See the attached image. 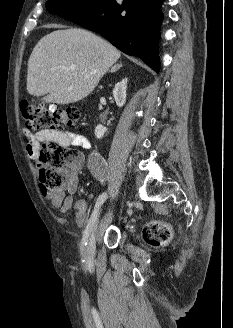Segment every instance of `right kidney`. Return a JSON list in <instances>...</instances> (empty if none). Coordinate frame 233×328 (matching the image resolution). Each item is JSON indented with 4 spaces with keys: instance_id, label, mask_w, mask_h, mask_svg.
Returning a JSON list of instances; mask_svg holds the SVG:
<instances>
[{
    "instance_id": "ca27d5eb",
    "label": "right kidney",
    "mask_w": 233,
    "mask_h": 328,
    "mask_svg": "<svg viewBox=\"0 0 233 328\" xmlns=\"http://www.w3.org/2000/svg\"><path fill=\"white\" fill-rule=\"evenodd\" d=\"M126 89L127 78L115 84V87L113 89V96L118 107H123L126 102ZM106 131L107 128L99 124L95 128V136L97 137V139H101Z\"/></svg>"
}]
</instances>
